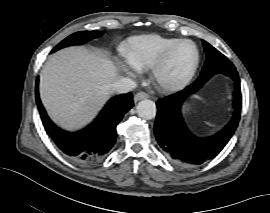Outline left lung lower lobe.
<instances>
[{
    "mask_svg": "<svg viewBox=\"0 0 270 213\" xmlns=\"http://www.w3.org/2000/svg\"><path fill=\"white\" fill-rule=\"evenodd\" d=\"M222 73L235 81L233 104L235 115L214 136L198 138L193 135L181 112L186 98L197 92L206 80L199 83L194 82L182 91L159 99L156 103L158 108L154 125L156 139L169 161L179 167H196L215 158L226 146L238 126L242 101L239 75L234 66Z\"/></svg>",
    "mask_w": 270,
    "mask_h": 213,
    "instance_id": "0a47b994",
    "label": "left lung lower lobe"
}]
</instances>
